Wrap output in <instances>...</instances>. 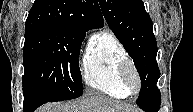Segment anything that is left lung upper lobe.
<instances>
[{"mask_svg": "<svg viewBox=\"0 0 193 112\" xmlns=\"http://www.w3.org/2000/svg\"><path fill=\"white\" fill-rule=\"evenodd\" d=\"M109 28L132 57L141 78L136 104H144L158 95L156 83L160 71L156 63L157 44L153 24L142 0H99Z\"/></svg>", "mask_w": 193, "mask_h": 112, "instance_id": "1", "label": "left lung upper lobe"}]
</instances>
